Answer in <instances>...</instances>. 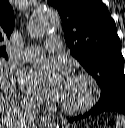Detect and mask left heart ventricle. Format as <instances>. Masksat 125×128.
I'll return each mask as SVG.
<instances>
[{
    "mask_svg": "<svg viewBox=\"0 0 125 128\" xmlns=\"http://www.w3.org/2000/svg\"><path fill=\"white\" fill-rule=\"evenodd\" d=\"M86 89L83 85L72 81L69 92L64 100L65 103L74 104L83 99Z\"/></svg>",
    "mask_w": 125,
    "mask_h": 128,
    "instance_id": "obj_1",
    "label": "left heart ventricle"
}]
</instances>
